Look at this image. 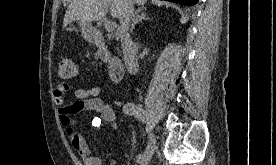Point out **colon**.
<instances>
[{
  "label": "colon",
  "mask_w": 276,
  "mask_h": 165,
  "mask_svg": "<svg viewBox=\"0 0 276 165\" xmlns=\"http://www.w3.org/2000/svg\"><path fill=\"white\" fill-rule=\"evenodd\" d=\"M77 63L69 56L63 57L59 62L58 74L62 79L74 78L78 75Z\"/></svg>",
  "instance_id": "obj_1"
}]
</instances>
